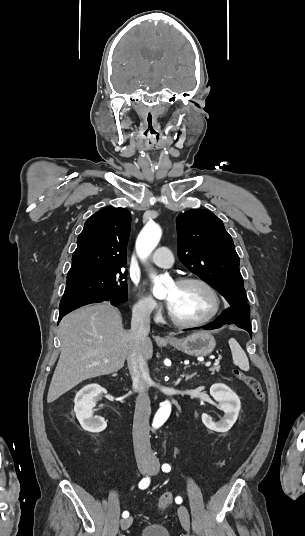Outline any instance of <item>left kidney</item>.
Instances as JSON below:
<instances>
[{"label":"left kidney","mask_w":305,"mask_h":536,"mask_svg":"<svg viewBox=\"0 0 305 536\" xmlns=\"http://www.w3.org/2000/svg\"><path fill=\"white\" fill-rule=\"evenodd\" d=\"M210 394L216 402H219V410H222L225 416L220 422H213L210 416L202 414V422L206 428L214 430V432H228L238 418L240 400L235 392H232L225 384H213L210 388Z\"/></svg>","instance_id":"left-kidney-1"}]
</instances>
